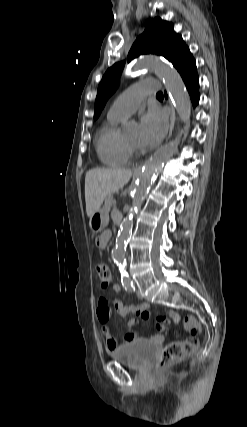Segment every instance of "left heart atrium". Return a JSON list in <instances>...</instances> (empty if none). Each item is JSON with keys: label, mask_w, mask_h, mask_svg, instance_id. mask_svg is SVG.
<instances>
[{"label": "left heart atrium", "mask_w": 247, "mask_h": 427, "mask_svg": "<svg viewBox=\"0 0 247 427\" xmlns=\"http://www.w3.org/2000/svg\"><path fill=\"white\" fill-rule=\"evenodd\" d=\"M168 127L166 115L158 108H150L140 119L138 142L142 147H152L164 137Z\"/></svg>", "instance_id": "39dd6f15"}]
</instances>
